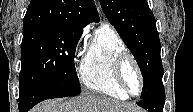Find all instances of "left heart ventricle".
<instances>
[{"label":"left heart ventricle","instance_id":"1","mask_svg":"<svg viewBox=\"0 0 193 112\" xmlns=\"http://www.w3.org/2000/svg\"><path fill=\"white\" fill-rule=\"evenodd\" d=\"M124 73L131 91L137 93L139 91V80L134 67L130 63L125 66Z\"/></svg>","mask_w":193,"mask_h":112}]
</instances>
